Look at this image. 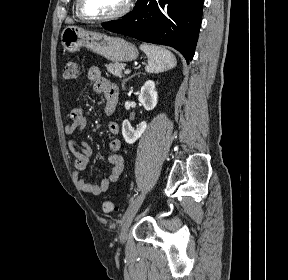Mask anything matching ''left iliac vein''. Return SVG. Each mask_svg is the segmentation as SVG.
Here are the masks:
<instances>
[{"label":"left iliac vein","mask_w":288,"mask_h":280,"mask_svg":"<svg viewBox=\"0 0 288 280\" xmlns=\"http://www.w3.org/2000/svg\"><path fill=\"white\" fill-rule=\"evenodd\" d=\"M144 198H145L144 193L138 195V198H136V203L131 204L132 206L129 208L128 210L129 212L127 214L126 213L124 214L119 232V239L122 243H124L127 239L128 229L132 223L134 216L136 215L138 209L140 208Z\"/></svg>","instance_id":"obj_1"}]
</instances>
